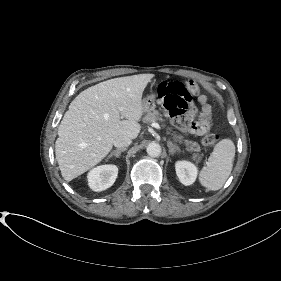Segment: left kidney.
<instances>
[{
    "instance_id": "left-kidney-1",
    "label": "left kidney",
    "mask_w": 281,
    "mask_h": 281,
    "mask_svg": "<svg viewBox=\"0 0 281 281\" xmlns=\"http://www.w3.org/2000/svg\"><path fill=\"white\" fill-rule=\"evenodd\" d=\"M175 170L182 184L188 186L195 182L198 168L193 163L189 161H177Z\"/></svg>"
}]
</instances>
